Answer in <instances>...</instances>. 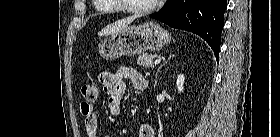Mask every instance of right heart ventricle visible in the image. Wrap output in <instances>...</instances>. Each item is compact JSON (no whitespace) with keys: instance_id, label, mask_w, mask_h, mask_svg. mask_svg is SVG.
<instances>
[{"instance_id":"right-heart-ventricle-1","label":"right heart ventricle","mask_w":280,"mask_h":137,"mask_svg":"<svg viewBox=\"0 0 280 137\" xmlns=\"http://www.w3.org/2000/svg\"><path fill=\"white\" fill-rule=\"evenodd\" d=\"M108 0H95V10L103 15L116 14L118 9L107 4Z\"/></svg>"}]
</instances>
